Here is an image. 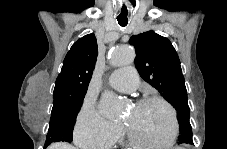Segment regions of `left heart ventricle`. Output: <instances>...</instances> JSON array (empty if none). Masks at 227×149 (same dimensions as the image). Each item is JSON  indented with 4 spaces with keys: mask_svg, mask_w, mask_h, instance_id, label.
<instances>
[{
    "mask_svg": "<svg viewBox=\"0 0 227 149\" xmlns=\"http://www.w3.org/2000/svg\"><path fill=\"white\" fill-rule=\"evenodd\" d=\"M123 120L130 123L137 134L152 141H166L173 130L170 111L157 102L133 107Z\"/></svg>",
    "mask_w": 227,
    "mask_h": 149,
    "instance_id": "b2bd125f",
    "label": "left heart ventricle"
}]
</instances>
